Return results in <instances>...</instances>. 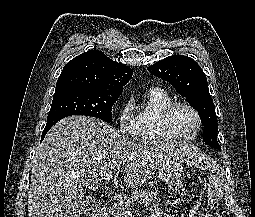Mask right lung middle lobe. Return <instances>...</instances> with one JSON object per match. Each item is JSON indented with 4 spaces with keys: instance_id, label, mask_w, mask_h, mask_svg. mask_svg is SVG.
I'll return each mask as SVG.
<instances>
[{
    "instance_id": "obj_1",
    "label": "right lung middle lobe",
    "mask_w": 255,
    "mask_h": 217,
    "mask_svg": "<svg viewBox=\"0 0 255 217\" xmlns=\"http://www.w3.org/2000/svg\"><path fill=\"white\" fill-rule=\"evenodd\" d=\"M121 92H109L85 87L56 89L47 120L58 115H86L105 122L112 121V106Z\"/></svg>"
}]
</instances>
